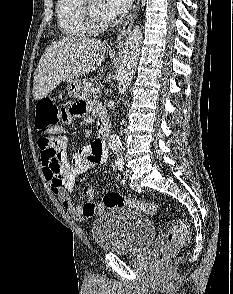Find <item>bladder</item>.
I'll return each mask as SVG.
<instances>
[{
    "mask_svg": "<svg viewBox=\"0 0 233 294\" xmlns=\"http://www.w3.org/2000/svg\"><path fill=\"white\" fill-rule=\"evenodd\" d=\"M91 232L99 249L130 255L144 251L156 235L153 222L142 212L129 207H116L98 217Z\"/></svg>",
    "mask_w": 233,
    "mask_h": 294,
    "instance_id": "31cf9c89",
    "label": "bladder"
}]
</instances>
